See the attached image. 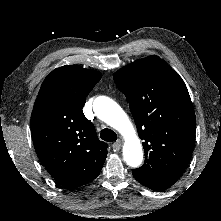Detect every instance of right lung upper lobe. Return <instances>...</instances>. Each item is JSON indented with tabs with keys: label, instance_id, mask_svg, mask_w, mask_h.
<instances>
[{
	"label": "right lung upper lobe",
	"instance_id": "1",
	"mask_svg": "<svg viewBox=\"0 0 221 221\" xmlns=\"http://www.w3.org/2000/svg\"><path fill=\"white\" fill-rule=\"evenodd\" d=\"M100 78L79 65L57 68L42 83L32 111L35 150L48 173L69 188L98 177L107 156V143L82 111Z\"/></svg>",
	"mask_w": 221,
	"mask_h": 221
}]
</instances>
